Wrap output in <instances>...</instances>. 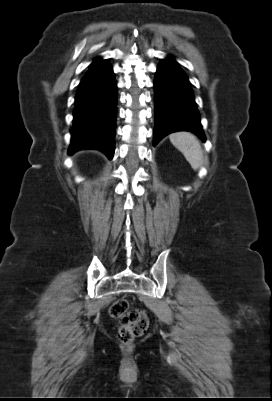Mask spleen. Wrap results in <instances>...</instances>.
Here are the masks:
<instances>
[{
  "label": "spleen",
  "mask_w": 272,
  "mask_h": 401,
  "mask_svg": "<svg viewBox=\"0 0 272 401\" xmlns=\"http://www.w3.org/2000/svg\"><path fill=\"white\" fill-rule=\"evenodd\" d=\"M171 143L183 153L194 170L203 164V151L197 138L188 132H178L170 135Z\"/></svg>",
  "instance_id": "3e777b00"
}]
</instances>
